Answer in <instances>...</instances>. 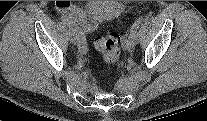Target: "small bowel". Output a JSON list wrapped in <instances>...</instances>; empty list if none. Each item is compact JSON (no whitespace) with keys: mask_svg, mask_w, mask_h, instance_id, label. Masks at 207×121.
<instances>
[{"mask_svg":"<svg viewBox=\"0 0 207 121\" xmlns=\"http://www.w3.org/2000/svg\"><path fill=\"white\" fill-rule=\"evenodd\" d=\"M56 8L59 12L63 13V16H66L75 25L78 24L80 27L78 28L81 32H89L94 28L93 24L86 19L82 10L76 4L69 1H57Z\"/></svg>","mask_w":207,"mask_h":121,"instance_id":"obj_1","label":"small bowel"}]
</instances>
